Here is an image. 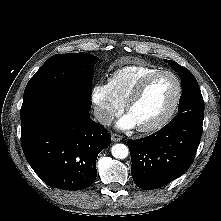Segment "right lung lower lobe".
Instances as JSON below:
<instances>
[{
  "mask_svg": "<svg viewBox=\"0 0 221 221\" xmlns=\"http://www.w3.org/2000/svg\"><path fill=\"white\" fill-rule=\"evenodd\" d=\"M21 144L35 173L49 186L81 190L96 179V159L111 135L69 101H51L21 119Z\"/></svg>",
  "mask_w": 221,
  "mask_h": 221,
  "instance_id": "right-lung-lower-lobe-1",
  "label": "right lung lower lobe"
}]
</instances>
